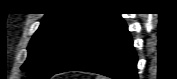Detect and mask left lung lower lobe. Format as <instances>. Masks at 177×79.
Returning <instances> with one entry per match:
<instances>
[{
  "label": "left lung lower lobe",
  "instance_id": "0a47b994",
  "mask_svg": "<svg viewBox=\"0 0 177 79\" xmlns=\"http://www.w3.org/2000/svg\"><path fill=\"white\" fill-rule=\"evenodd\" d=\"M137 56L120 14H108L82 38L54 74L87 71L113 79H137Z\"/></svg>",
  "mask_w": 177,
  "mask_h": 79
}]
</instances>
